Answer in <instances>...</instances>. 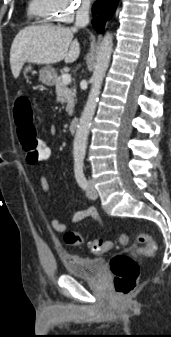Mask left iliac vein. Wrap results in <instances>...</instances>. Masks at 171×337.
I'll use <instances>...</instances> for the list:
<instances>
[{"label":"left iliac vein","instance_id":"obj_1","mask_svg":"<svg viewBox=\"0 0 171 337\" xmlns=\"http://www.w3.org/2000/svg\"><path fill=\"white\" fill-rule=\"evenodd\" d=\"M86 195L89 199H93V200L98 197L97 190L95 189L94 184L92 182L88 183Z\"/></svg>","mask_w":171,"mask_h":337}]
</instances>
